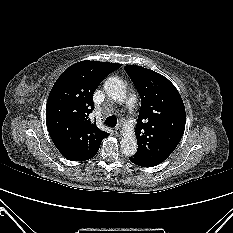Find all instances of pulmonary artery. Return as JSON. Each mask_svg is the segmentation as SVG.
<instances>
[{
  "instance_id": "obj_1",
  "label": "pulmonary artery",
  "mask_w": 233,
  "mask_h": 233,
  "mask_svg": "<svg viewBox=\"0 0 233 233\" xmlns=\"http://www.w3.org/2000/svg\"><path fill=\"white\" fill-rule=\"evenodd\" d=\"M133 103H134V99H133V98H130V99L128 100V104H129L130 106H133Z\"/></svg>"
}]
</instances>
